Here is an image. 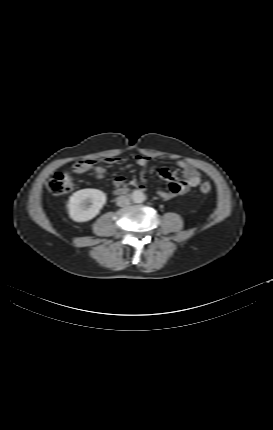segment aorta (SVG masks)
Instances as JSON below:
<instances>
[{
	"label": "aorta",
	"instance_id": "762f6f07",
	"mask_svg": "<svg viewBox=\"0 0 273 430\" xmlns=\"http://www.w3.org/2000/svg\"><path fill=\"white\" fill-rule=\"evenodd\" d=\"M131 200L135 203H141L143 201H145L146 196L145 194L142 192V190H134L131 195Z\"/></svg>",
	"mask_w": 273,
	"mask_h": 430
}]
</instances>
